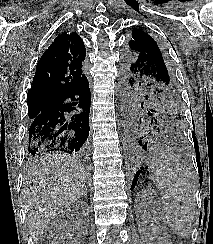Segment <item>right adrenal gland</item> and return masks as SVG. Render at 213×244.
Instances as JSON below:
<instances>
[{"label":"right adrenal gland","mask_w":213,"mask_h":244,"mask_svg":"<svg viewBox=\"0 0 213 244\" xmlns=\"http://www.w3.org/2000/svg\"><path fill=\"white\" fill-rule=\"evenodd\" d=\"M84 195V197L87 198V188L85 187L84 190H83V193H82V196Z\"/></svg>","instance_id":"2a0ac1e0"}]
</instances>
